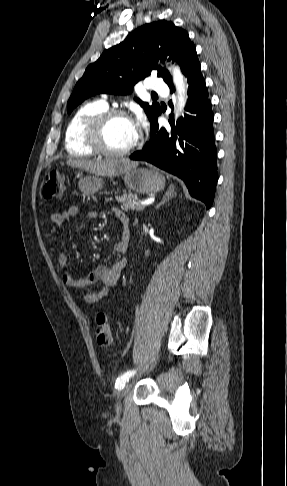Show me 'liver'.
<instances>
[{"label": "liver", "instance_id": "obj_1", "mask_svg": "<svg viewBox=\"0 0 287 486\" xmlns=\"http://www.w3.org/2000/svg\"><path fill=\"white\" fill-rule=\"evenodd\" d=\"M67 165L83 169L96 176L114 177L123 174L125 171L136 168L138 162L126 158L107 160L69 159Z\"/></svg>", "mask_w": 287, "mask_h": 486}]
</instances>
